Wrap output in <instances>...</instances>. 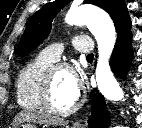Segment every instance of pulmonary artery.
Segmentation results:
<instances>
[{"mask_svg":"<svg viewBox=\"0 0 142 128\" xmlns=\"http://www.w3.org/2000/svg\"><path fill=\"white\" fill-rule=\"evenodd\" d=\"M72 45L74 49L79 52L85 54H91L93 52V43L91 39L87 36H75L72 39ZM63 48L64 47L61 43H53L43 48L41 54L52 61H57L63 52Z\"/></svg>","mask_w":142,"mask_h":128,"instance_id":"1","label":"pulmonary artery"}]
</instances>
